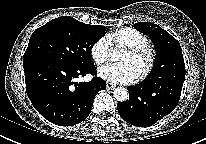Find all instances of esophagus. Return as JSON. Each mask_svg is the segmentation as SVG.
Here are the masks:
<instances>
[{
	"mask_svg": "<svg viewBox=\"0 0 206 144\" xmlns=\"http://www.w3.org/2000/svg\"><path fill=\"white\" fill-rule=\"evenodd\" d=\"M106 87L108 90H113L116 87V85H114L112 83H107Z\"/></svg>",
	"mask_w": 206,
	"mask_h": 144,
	"instance_id": "1",
	"label": "esophagus"
}]
</instances>
